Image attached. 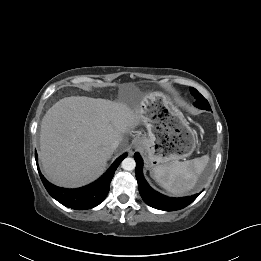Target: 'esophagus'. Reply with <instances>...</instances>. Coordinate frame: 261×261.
Returning <instances> with one entry per match:
<instances>
[{
    "label": "esophagus",
    "mask_w": 261,
    "mask_h": 261,
    "mask_svg": "<svg viewBox=\"0 0 261 261\" xmlns=\"http://www.w3.org/2000/svg\"><path fill=\"white\" fill-rule=\"evenodd\" d=\"M137 148H139V142L135 143V145H134V149H137Z\"/></svg>",
    "instance_id": "34e87169"
}]
</instances>
